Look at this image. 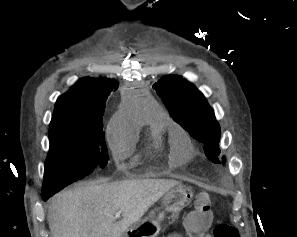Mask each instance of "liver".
<instances>
[{"label":"liver","mask_w":297,"mask_h":237,"mask_svg":"<svg viewBox=\"0 0 297 237\" xmlns=\"http://www.w3.org/2000/svg\"><path fill=\"white\" fill-rule=\"evenodd\" d=\"M179 184L168 179L79 184L56 195L48 215L52 237H121ZM117 211L122 219L115 222Z\"/></svg>","instance_id":"obj_1"}]
</instances>
